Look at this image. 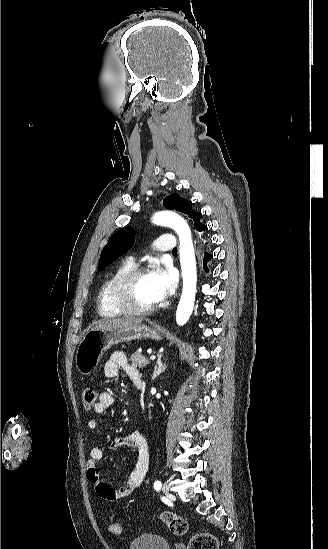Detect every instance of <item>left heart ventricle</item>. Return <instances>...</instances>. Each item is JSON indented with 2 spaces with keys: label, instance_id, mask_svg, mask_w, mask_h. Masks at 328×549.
<instances>
[{
  "label": "left heart ventricle",
  "instance_id": "b2bd125f",
  "mask_svg": "<svg viewBox=\"0 0 328 549\" xmlns=\"http://www.w3.org/2000/svg\"><path fill=\"white\" fill-rule=\"evenodd\" d=\"M158 266L159 265H155V266H152L151 268L155 269ZM129 294H130V297L134 301L138 302L139 304L125 305V306L142 307V306H148L158 301L154 295L150 273L137 278L131 284L129 289Z\"/></svg>",
  "mask_w": 328,
  "mask_h": 549
}]
</instances>
